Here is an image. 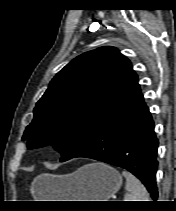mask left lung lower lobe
<instances>
[{"instance_id": "1", "label": "left lung lower lobe", "mask_w": 176, "mask_h": 211, "mask_svg": "<svg viewBox=\"0 0 176 211\" xmlns=\"http://www.w3.org/2000/svg\"><path fill=\"white\" fill-rule=\"evenodd\" d=\"M157 147L154 122L141 94L110 116L73 158H92L127 169L156 200Z\"/></svg>"}]
</instances>
